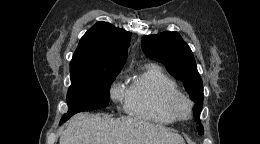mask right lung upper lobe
Segmentation results:
<instances>
[{"label":"right lung upper lobe","instance_id":"right-lung-upper-lobe-1","mask_svg":"<svg viewBox=\"0 0 260 144\" xmlns=\"http://www.w3.org/2000/svg\"><path fill=\"white\" fill-rule=\"evenodd\" d=\"M130 36V32L108 22H97L79 42L70 63L71 75L121 70Z\"/></svg>","mask_w":260,"mask_h":144}]
</instances>
